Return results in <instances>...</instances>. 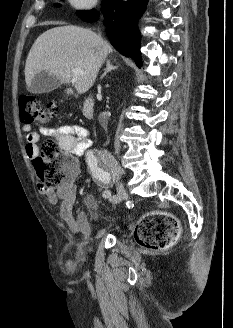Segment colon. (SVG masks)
<instances>
[{
    "mask_svg": "<svg viewBox=\"0 0 233 328\" xmlns=\"http://www.w3.org/2000/svg\"><path fill=\"white\" fill-rule=\"evenodd\" d=\"M20 120L24 124L48 122L58 118L59 113L52 104L42 105L34 96L21 94L18 100ZM34 167L42 185L55 189L71 179L76 171L72 160H66L54 140L42 143ZM135 239L142 247L161 251L173 246L180 236V225L176 218L165 212H152L137 223Z\"/></svg>",
    "mask_w": 233,
    "mask_h": 328,
    "instance_id": "obj_1",
    "label": "colon"
}]
</instances>
